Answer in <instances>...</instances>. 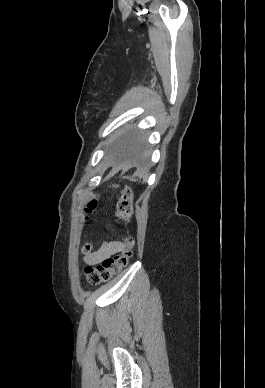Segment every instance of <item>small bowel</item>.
<instances>
[{
  "instance_id": "obj_1",
  "label": "small bowel",
  "mask_w": 265,
  "mask_h": 388,
  "mask_svg": "<svg viewBox=\"0 0 265 388\" xmlns=\"http://www.w3.org/2000/svg\"><path fill=\"white\" fill-rule=\"evenodd\" d=\"M122 249L123 244L119 241H105L96 251L87 254L84 261L89 265H96L105 258L120 252Z\"/></svg>"
}]
</instances>
